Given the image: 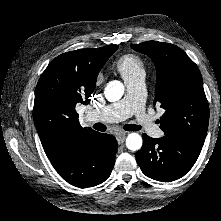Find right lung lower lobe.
<instances>
[{"instance_id": "1", "label": "right lung lower lobe", "mask_w": 221, "mask_h": 221, "mask_svg": "<svg viewBox=\"0 0 221 221\" xmlns=\"http://www.w3.org/2000/svg\"><path fill=\"white\" fill-rule=\"evenodd\" d=\"M117 146L114 136L96 132L87 140L68 145L50 161L59 175L71 185L93 187L110 176Z\"/></svg>"}]
</instances>
